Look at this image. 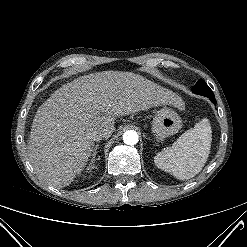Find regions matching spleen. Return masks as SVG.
<instances>
[{"instance_id": "obj_1", "label": "spleen", "mask_w": 247, "mask_h": 247, "mask_svg": "<svg viewBox=\"0 0 247 247\" xmlns=\"http://www.w3.org/2000/svg\"><path fill=\"white\" fill-rule=\"evenodd\" d=\"M212 130L207 118L183 133L172 147L159 152L155 165L179 180H187L204 167L211 148Z\"/></svg>"}]
</instances>
